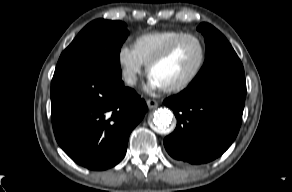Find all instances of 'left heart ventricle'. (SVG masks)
Wrapping results in <instances>:
<instances>
[{
	"label": "left heart ventricle",
	"mask_w": 292,
	"mask_h": 192,
	"mask_svg": "<svg viewBox=\"0 0 292 192\" xmlns=\"http://www.w3.org/2000/svg\"><path fill=\"white\" fill-rule=\"evenodd\" d=\"M200 54L198 43L193 39H186L169 58L155 65L149 75L163 87L177 84L192 74L199 63Z\"/></svg>",
	"instance_id": "left-heart-ventricle-1"
}]
</instances>
